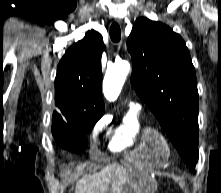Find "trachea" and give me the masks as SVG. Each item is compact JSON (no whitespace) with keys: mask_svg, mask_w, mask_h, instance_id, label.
<instances>
[{"mask_svg":"<svg viewBox=\"0 0 221 193\" xmlns=\"http://www.w3.org/2000/svg\"><path fill=\"white\" fill-rule=\"evenodd\" d=\"M110 38L113 42H119L121 38V29L118 23L114 22L110 27Z\"/></svg>","mask_w":221,"mask_h":193,"instance_id":"1","label":"trachea"}]
</instances>
